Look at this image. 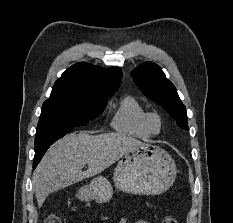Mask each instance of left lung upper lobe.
I'll list each match as a JSON object with an SVG mask.
<instances>
[{"label": "left lung upper lobe", "instance_id": "obj_1", "mask_svg": "<svg viewBox=\"0 0 233 223\" xmlns=\"http://www.w3.org/2000/svg\"><path fill=\"white\" fill-rule=\"evenodd\" d=\"M136 85L148 98L162 106L181 129L189 130L186 108L180 101L174 85L165 77L160 67L145 62L131 73Z\"/></svg>", "mask_w": 233, "mask_h": 223}]
</instances>
